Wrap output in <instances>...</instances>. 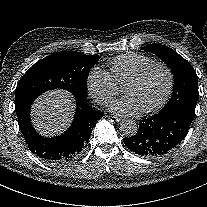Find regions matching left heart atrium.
<instances>
[{"instance_id":"1","label":"left heart atrium","mask_w":207,"mask_h":207,"mask_svg":"<svg viewBox=\"0 0 207 207\" xmlns=\"http://www.w3.org/2000/svg\"><path fill=\"white\" fill-rule=\"evenodd\" d=\"M108 107L112 112L123 116H135L140 113L134 102L126 96L111 102Z\"/></svg>"}]
</instances>
